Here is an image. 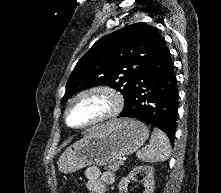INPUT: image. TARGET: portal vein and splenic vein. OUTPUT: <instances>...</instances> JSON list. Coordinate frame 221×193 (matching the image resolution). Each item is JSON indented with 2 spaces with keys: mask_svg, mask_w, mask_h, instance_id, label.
I'll return each mask as SVG.
<instances>
[{
  "mask_svg": "<svg viewBox=\"0 0 221 193\" xmlns=\"http://www.w3.org/2000/svg\"><path fill=\"white\" fill-rule=\"evenodd\" d=\"M120 162L123 164V160L122 159H120Z\"/></svg>",
  "mask_w": 221,
  "mask_h": 193,
  "instance_id": "obj_1",
  "label": "portal vein and splenic vein"
}]
</instances>
